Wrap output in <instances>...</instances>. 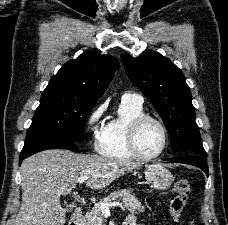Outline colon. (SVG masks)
Wrapping results in <instances>:
<instances>
[{
	"label": "colon",
	"mask_w": 228,
	"mask_h": 225,
	"mask_svg": "<svg viewBox=\"0 0 228 225\" xmlns=\"http://www.w3.org/2000/svg\"><path fill=\"white\" fill-rule=\"evenodd\" d=\"M190 190L191 185L187 179H179L173 184L171 189L173 198L170 206V215L173 220L181 219Z\"/></svg>",
	"instance_id": "obj_1"
}]
</instances>
